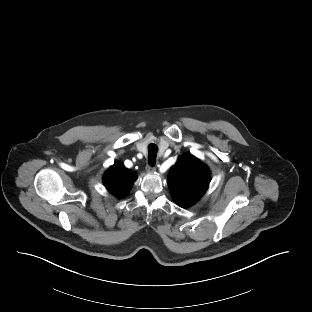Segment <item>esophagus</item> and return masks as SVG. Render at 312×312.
Segmentation results:
<instances>
[{
  "label": "esophagus",
  "instance_id": "34e87169",
  "mask_svg": "<svg viewBox=\"0 0 312 312\" xmlns=\"http://www.w3.org/2000/svg\"><path fill=\"white\" fill-rule=\"evenodd\" d=\"M146 171H147L148 173H153V172L156 171V167H153V166H151V165H147V166H146Z\"/></svg>",
  "mask_w": 312,
  "mask_h": 312
}]
</instances>
